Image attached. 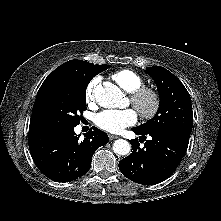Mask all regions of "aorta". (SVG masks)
Wrapping results in <instances>:
<instances>
[{"label": "aorta", "mask_w": 221, "mask_h": 221, "mask_svg": "<svg viewBox=\"0 0 221 221\" xmlns=\"http://www.w3.org/2000/svg\"><path fill=\"white\" fill-rule=\"evenodd\" d=\"M95 98L101 107L115 108L121 104L123 93L117 86L105 83L95 89ZM113 151L121 156L128 155L131 151V145L127 140L118 139L113 143Z\"/></svg>", "instance_id": "obj_1"}]
</instances>
